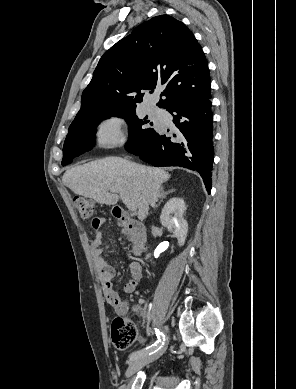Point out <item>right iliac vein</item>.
<instances>
[{
	"label": "right iliac vein",
	"mask_w": 296,
	"mask_h": 389,
	"mask_svg": "<svg viewBox=\"0 0 296 389\" xmlns=\"http://www.w3.org/2000/svg\"><path fill=\"white\" fill-rule=\"evenodd\" d=\"M166 348L161 349L160 351L150 355V356H142L135 360H133L132 363H130L127 371H126V377L132 376L135 372H137L139 369L144 367L145 365L151 363L152 361L158 359L165 351Z\"/></svg>",
	"instance_id": "1"
}]
</instances>
